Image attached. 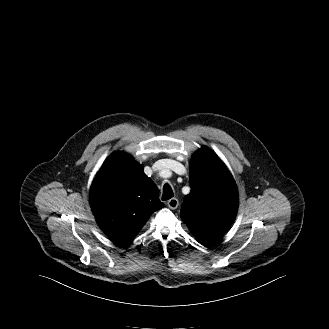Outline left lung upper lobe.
I'll return each instance as SVG.
<instances>
[{
	"instance_id": "obj_1",
	"label": "left lung upper lobe",
	"mask_w": 329,
	"mask_h": 329,
	"mask_svg": "<svg viewBox=\"0 0 329 329\" xmlns=\"http://www.w3.org/2000/svg\"><path fill=\"white\" fill-rule=\"evenodd\" d=\"M191 192L185 196L181 218L203 245L226 233L238 208L234 180L220 158L207 147L193 155L189 165Z\"/></svg>"
}]
</instances>
